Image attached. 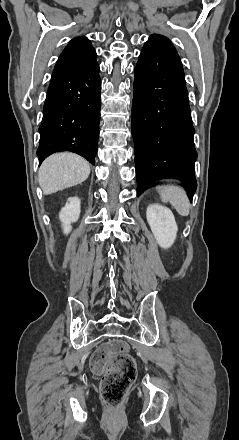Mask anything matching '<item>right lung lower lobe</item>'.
<instances>
[{
	"mask_svg": "<svg viewBox=\"0 0 239 440\" xmlns=\"http://www.w3.org/2000/svg\"><path fill=\"white\" fill-rule=\"evenodd\" d=\"M99 71L98 64L53 70L39 127V164L60 151L77 153L95 164L101 107Z\"/></svg>",
	"mask_w": 239,
	"mask_h": 440,
	"instance_id": "right-lung-lower-lobe-1",
	"label": "right lung lower lobe"
}]
</instances>
